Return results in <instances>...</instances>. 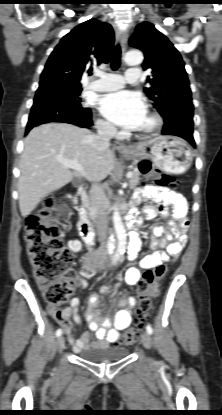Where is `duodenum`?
Here are the masks:
<instances>
[{
	"label": "duodenum",
	"mask_w": 222,
	"mask_h": 415,
	"mask_svg": "<svg viewBox=\"0 0 222 415\" xmlns=\"http://www.w3.org/2000/svg\"><path fill=\"white\" fill-rule=\"evenodd\" d=\"M78 191L81 194V196L83 197L82 202H81V206H80V210H79V214H80V222H79V230L83 236V238L88 242L91 243L94 240V232L93 229L91 227V223L89 220V211H88V206L86 203V190L83 186H79L78 187ZM134 223V219L130 216L126 219V225L128 227H131Z\"/></svg>",
	"instance_id": "duodenum-1"
}]
</instances>
